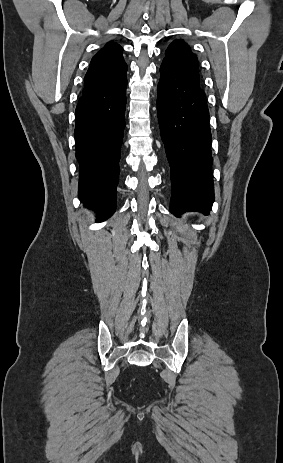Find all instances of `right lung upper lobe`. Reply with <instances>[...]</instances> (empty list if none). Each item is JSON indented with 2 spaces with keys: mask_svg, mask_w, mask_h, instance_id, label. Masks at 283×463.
I'll return each instance as SVG.
<instances>
[{
  "mask_svg": "<svg viewBox=\"0 0 283 463\" xmlns=\"http://www.w3.org/2000/svg\"><path fill=\"white\" fill-rule=\"evenodd\" d=\"M127 64L122 57V48L114 42H109L91 60L85 75L83 92H89L126 75Z\"/></svg>",
  "mask_w": 283,
  "mask_h": 463,
  "instance_id": "obj_1",
  "label": "right lung upper lobe"
}]
</instances>
